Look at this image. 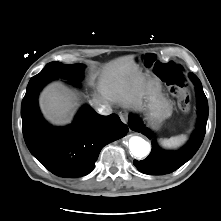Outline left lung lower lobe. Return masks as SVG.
I'll use <instances>...</instances> for the list:
<instances>
[{
    "label": "left lung lower lobe",
    "instance_id": "0a47b994",
    "mask_svg": "<svg viewBox=\"0 0 221 221\" xmlns=\"http://www.w3.org/2000/svg\"><path fill=\"white\" fill-rule=\"evenodd\" d=\"M189 77L196 87L198 102L197 128L188 144L178 151H164L153 140L149 156L142 161H133L136 168L144 174L164 175L175 171L193 157L203 141L208 119V102L198 77L193 73H190ZM128 125L132 130L141 132L150 139L153 137L152 132L132 115L129 116Z\"/></svg>",
    "mask_w": 221,
    "mask_h": 221
}]
</instances>
